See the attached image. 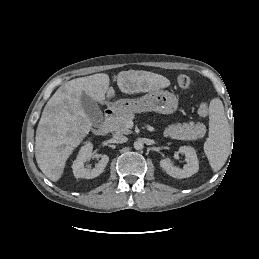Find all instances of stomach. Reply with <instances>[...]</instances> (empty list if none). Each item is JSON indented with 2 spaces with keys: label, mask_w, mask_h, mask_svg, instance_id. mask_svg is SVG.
<instances>
[{
  "label": "stomach",
  "mask_w": 259,
  "mask_h": 259,
  "mask_svg": "<svg viewBox=\"0 0 259 259\" xmlns=\"http://www.w3.org/2000/svg\"><path fill=\"white\" fill-rule=\"evenodd\" d=\"M117 115L155 111L160 114H172L178 108L177 97L164 90H153L137 99H120L112 104Z\"/></svg>",
  "instance_id": "stomach-1"
}]
</instances>
